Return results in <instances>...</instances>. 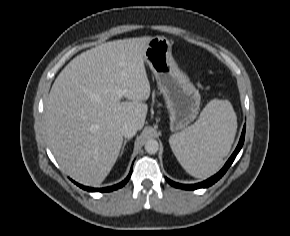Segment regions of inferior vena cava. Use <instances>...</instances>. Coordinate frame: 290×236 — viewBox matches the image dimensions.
I'll use <instances>...</instances> for the list:
<instances>
[{"label": "inferior vena cava", "mask_w": 290, "mask_h": 236, "mask_svg": "<svg viewBox=\"0 0 290 236\" xmlns=\"http://www.w3.org/2000/svg\"><path fill=\"white\" fill-rule=\"evenodd\" d=\"M120 132H121L122 136L129 139V138H132L136 134L137 129L132 124H124L121 127Z\"/></svg>", "instance_id": "1"}]
</instances>
